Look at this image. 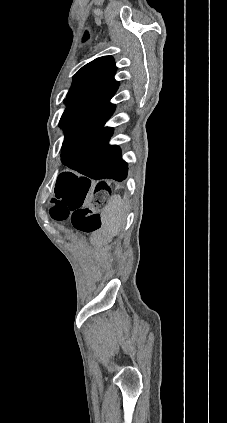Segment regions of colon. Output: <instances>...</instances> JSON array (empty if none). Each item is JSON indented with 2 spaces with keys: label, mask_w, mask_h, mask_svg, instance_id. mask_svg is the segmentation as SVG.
Segmentation results:
<instances>
[{
  "label": "colon",
  "mask_w": 227,
  "mask_h": 423,
  "mask_svg": "<svg viewBox=\"0 0 227 423\" xmlns=\"http://www.w3.org/2000/svg\"><path fill=\"white\" fill-rule=\"evenodd\" d=\"M89 188L88 181L60 176L55 186L52 216L56 220L71 218L74 228L83 233L98 230L101 226L100 210L110 195V188L105 183H98L89 203L84 206Z\"/></svg>",
  "instance_id": "colon-1"
}]
</instances>
